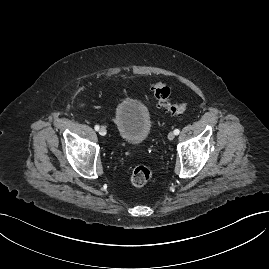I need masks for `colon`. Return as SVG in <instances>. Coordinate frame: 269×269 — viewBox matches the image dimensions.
<instances>
[{
	"label": "colon",
	"mask_w": 269,
	"mask_h": 269,
	"mask_svg": "<svg viewBox=\"0 0 269 269\" xmlns=\"http://www.w3.org/2000/svg\"><path fill=\"white\" fill-rule=\"evenodd\" d=\"M151 90L157 100L159 108L166 110L172 114H182L184 113L189 103L174 102L171 99V91L168 86L162 82H156L151 85ZM152 177L151 169L144 164H139L131 172L130 180L131 183L136 187H142L146 185Z\"/></svg>",
	"instance_id": "colon-1"
}]
</instances>
